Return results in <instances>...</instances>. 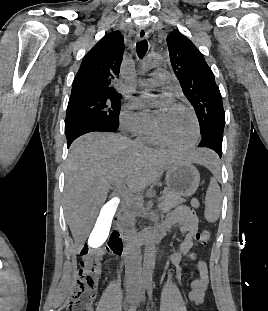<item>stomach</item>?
I'll list each match as a JSON object with an SVG mask.
<instances>
[{"mask_svg": "<svg viewBox=\"0 0 268 311\" xmlns=\"http://www.w3.org/2000/svg\"><path fill=\"white\" fill-rule=\"evenodd\" d=\"M166 183L173 194L189 197L198 189L200 174L191 161L183 159L167 167Z\"/></svg>", "mask_w": 268, "mask_h": 311, "instance_id": "stomach-1", "label": "stomach"}]
</instances>
